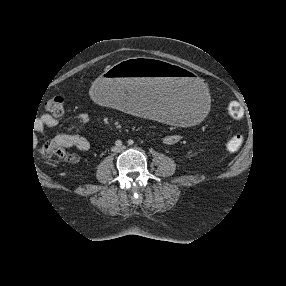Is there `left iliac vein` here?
<instances>
[{"label":"left iliac vein","mask_w":286,"mask_h":286,"mask_svg":"<svg viewBox=\"0 0 286 286\" xmlns=\"http://www.w3.org/2000/svg\"><path fill=\"white\" fill-rule=\"evenodd\" d=\"M126 149V147L125 146H122L121 148H120V151H123V150H125Z\"/></svg>","instance_id":"1"}]
</instances>
